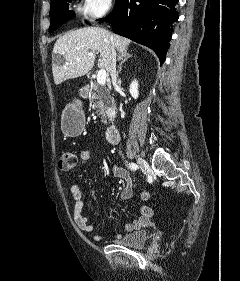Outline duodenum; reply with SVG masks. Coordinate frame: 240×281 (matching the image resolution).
Segmentation results:
<instances>
[{
  "instance_id": "410a0bca",
  "label": "duodenum",
  "mask_w": 240,
  "mask_h": 281,
  "mask_svg": "<svg viewBox=\"0 0 240 281\" xmlns=\"http://www.w3.org/2000/svg\"><path fill=\"white\" fill-rule=\"evenodd\" d=\"M106 139L112 144H115L119 141V131L116 126L111 125L107 128Z\"/></svg>"
}]
</instances>
